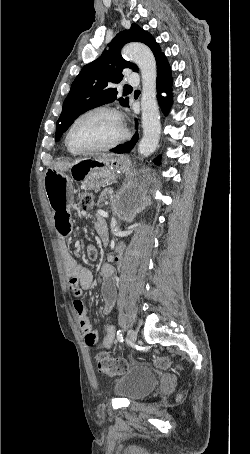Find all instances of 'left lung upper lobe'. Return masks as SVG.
<instances>
[{"mask_svg": "<svg viewBox=\"0 0 250 454\" xmlns=\"http://www.w3.org/2000/svg\"><path fill=\"white\" fill-rule=\"evenodd\" d=\"M132 41L149 46L156 62L163 56L151 34L137 24H132L129 30L118 33L108 44V49H105L98 59L85 65L73 81L56 124L55 141L59 140L79 115L117 99L118 92L114 85L122 80L123 70L130 68L138 71L135 64L124 60L120 55L122 46ZM118 101L123 106H129V98H119Z\"/></svg>", "mask_w": 250, "mask_h": 454, "instance_id": "obj_1", "label": "left lung upper lobe"}]
</instances>
